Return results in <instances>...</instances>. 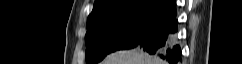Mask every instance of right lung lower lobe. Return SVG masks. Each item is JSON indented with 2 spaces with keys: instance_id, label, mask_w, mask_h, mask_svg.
Instances as JSON below:
<instances>
[{
  "instance_id": "obj_1",
  "label": "right lung lower lobe",
  "mask_w": 242,
  "mask_h": 64,
  "mask_svg": "<svg viewBox=\"0 0 242 64\" xmlns=\"http://www.w3.org/2000/svg\"><path fill=\"white\" fill-rule=\"evenodd\" d=\"M164 15L159 24L137 47L162 58L169 64H180L182 61L181 49L175 36L178 26L176 6Z\"/></svg>"
}]
</instances>
